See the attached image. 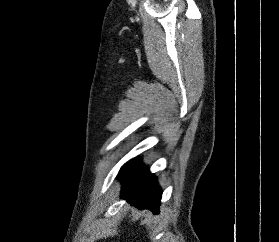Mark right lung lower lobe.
Masks as SVG:
<instances>
[{"mask_svg": "<svg viewBox=\"0 0 279 242\" xmlns=\"http://www.w3.org/2000/svg\"><path fill=\"white\" fill-rule=\"evenodd\" d=\"M123 181L120 198L128 199L139 209H149L158 213L162 191L156 177L141 163L132 159L123 166L119 173Z\"/></svg>", "mask_w": 279, "mask_h": 242, "instance_id": "obj_1", "label": "right lung lower lobe"}]
</instances>
